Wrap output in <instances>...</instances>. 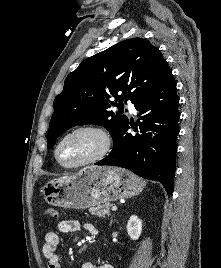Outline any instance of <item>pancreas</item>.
<instances>
[{"label": "pancreas", "mask_w": 221, "mask_h": 268, "mask_svg": "<svg viewBox=\"0 0 221 268\" xmlns=\"http://www.w3.org/2000/svg\"><path fill=\"white\" fill-rule=\"evenodd\" d=\"M112 205L110 203H105V204H99L97 205L96 207H91L89 209V212L92 214V215H96V216H99V217H106V216H109L110 215V207Z\"/></svg>", "instance_id": "cf45deb5"}]
</instances>
